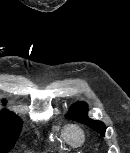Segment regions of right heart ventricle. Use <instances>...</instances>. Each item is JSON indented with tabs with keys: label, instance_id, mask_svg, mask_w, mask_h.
Listing matches in <instances>:
<instances>
[{
	"label": "right heart ventricle",
	"instance_id": "right-heart-ventricle-1",
	"mask_svg": "<svg viewBox=\"0 0 130 153\" xmlns=\"http://www.w3.org/2000/svg\"><path fill=\"white\" fill-rule=\"evenodd\" d=\"M61 138H62V140H63L65 143L70 144L69 141H68V139H67L65 130H63V131L61 132ZM70 145H71V144H70Z\"/></svg>",
	"mask_w": 130,
	"mask_h": 153
}]
</instances>
